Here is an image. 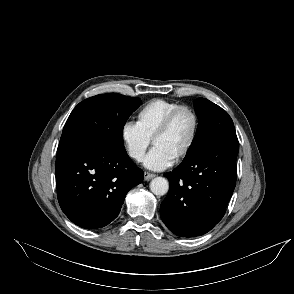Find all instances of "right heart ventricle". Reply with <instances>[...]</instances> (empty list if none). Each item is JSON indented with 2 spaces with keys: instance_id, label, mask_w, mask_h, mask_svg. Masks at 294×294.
Segmentation results:
<instances>
[{
  "instance_id": "1",
  "label": "right heart ventricle",
  "mask_w": 294,
  "mask_h": 294,
  "mask_svg": "<svg viewBox=\"0 0 294 294\" xmlns=\"http://www.w3.org/2000/svg\"><path fill=\"white\" fill-rule=\"evenodd\" d=\"M179 105L177 102L165 99L151 100L138 111L136 123L143 133L152 139L165 117Z\"/></svg>"
}]
</instances>
